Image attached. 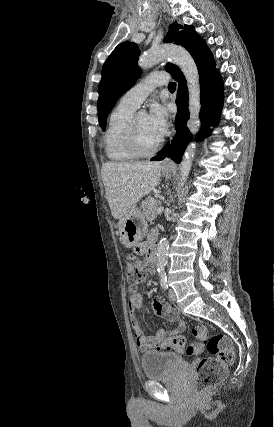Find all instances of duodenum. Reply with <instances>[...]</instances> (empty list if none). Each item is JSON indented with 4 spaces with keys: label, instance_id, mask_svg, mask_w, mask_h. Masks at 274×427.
I'll list each match as a JSON object with an SVG mask.
<instances>
[{
    "label": "duodenum",
    "instance_id": "duodenum-1",
    "mask_svg": "<svg viewBox=\"0 0 274 427\" xmlns=\"http://www.w3.org/2000/svg\"><path fill=\"white\" fill-rule=\"evenodd\" d=\"M156 256H157V247L155 244H152L149 247L147 252V259L152 265H155Z\"/></svg>",
    "mask_w": 274,
    "mask_h": 427
}]
</instances>
